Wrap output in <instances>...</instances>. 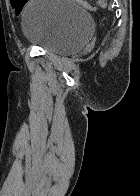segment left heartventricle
<instances>
[{
    "label": "left heart ventricle",
    "instance_id": "b2bd125f",
    "mask_svg": "<svg viewBox=\"0 0 140 196\" xmlns=\"http://www.w3.org/2000/svg\"><path fill=\"white\" fill-rule=\"evenodd\" d=\"M46 192H55V191H46Z\"/></svg>",
    "mask_w": 140,
    "mask_h": 196
}]
</instances>
